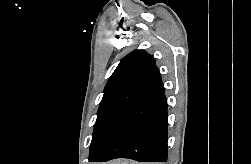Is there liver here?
I'll return each mask as SVG.
<instances>
[{
    "instance_id": "6515ba94",
    "label": "liver",
    "mask_w": 251,
    "mask_h": 164,
    "mask_svg": "<svg viewBox=\"0 0 251 164\" xmlns=\"http://www.w3.org/2000/svg\"><path fill=\"white\" fill-rule=\"evenodd\" d=\"M106 164H138L136 162H132V161H127V160H116V161H112Z\"/></svg>"
}]
</instances>
